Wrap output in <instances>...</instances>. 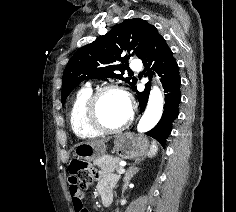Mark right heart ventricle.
Wrapping results in <instances>:
<instances>
[{
	"instance_id": "e07e8e85",
	"label": "right heart ventricle",
	"mask_w": 236,
	"mask_h": 212,
	"mask_svg": "<svg viewBox=\"0 0 236 212\" xmlns=\"http://www.w3.org/2000/svg\"><path fill=\"white\" fill-rule=\"evenodd\" d=\"M93 91L92 86H83L74 95L70 106L71 129L81 139H91L100 136V133L91 128L86 120V107Z\"/></svg>"
}]
</instances>
